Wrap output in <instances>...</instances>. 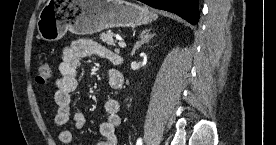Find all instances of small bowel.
I'll return each mask as SVG.
<instances>
[{
    "mask_svg": "<svg viewBox=\"0 0 276 145\" xmlns=\"http://www.w3.org/2000/svg\"><path fill=\"white\" fill-rule=\"evenodd\" d=\"M98 55L106 60H114L116 55L107 47L90 39H78L67 46L62 53V61L59 65L61 76L56 80V91L54 93V102L57 107L55 115V124L61 128L59 140L62 144H72V133L64 128L72 117L73 127L82 129L85 126V116L80 111L72 112L71 94L78 87V70L82 58ZM117 71L108 70V80L111 85V79L116 76ZM106 118L100 125V133L103 140L99 145H117L115 129L121 122L120 103L115 98H109L104 105Z\"/></svg>",
    "mask_w": 276,
    "mask_h": 145,
    "instance_id": "obj_1",
    "label": "small bowel"
}]
</instances>
